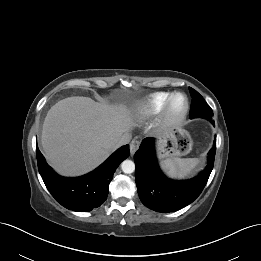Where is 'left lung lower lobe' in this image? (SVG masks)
I'll list each match as a JSON object with an SVG mask.
<instances>
[{"label": "left lung lower lobe", "mask_w": 261, "mask_h": 261, "mask_svg": "<svg viewBox=\"0 0 261 261\" xmlns=\"http://www.w3.org/2000/svg\"><path fill=\"white\" fill-rule=\"evenodd\" d=\"M214 126V120L208 119ZM155 139L145 138L134 155L135 180L142 203L157 212H174L192 203L204 189L213 169L216 139L208 153V165L197 177L186 181L168 179L161 172L154 149Z\"/></svg>", "instance_id": "1"}]
</instances>
